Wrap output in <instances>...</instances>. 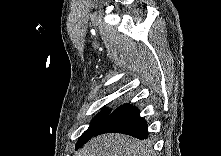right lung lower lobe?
<instances>
[{"instance_id": "obj_1", "label": "right lung lower lobe", "mask_w": 221, "mask_h": 156, "mask_svg": "<svg viewBox=\"0 0 221 156\" xmlns=\"http://www.w3.org/2000/svg\"><path fill=\"white\" fill-rule=\"evenodd\" d=\"M117 132L138 139L148 137L147 122L140 117L139 110L130 104H124L114 110L94 136Z\"/></svg>"}]
</instances>
